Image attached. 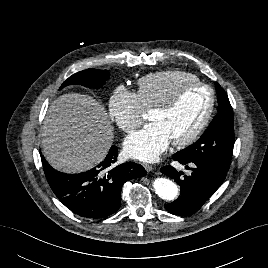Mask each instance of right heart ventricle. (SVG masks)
I'll use <instances>...</instances> for the list:
<instances>
[{"label":"right heart ventricle","mask_w":268,"mask_h":268,"mask_svg":"<svg viewBox=\"0 0 268 268\" xmlns=\"http://www.w3.org/2000/svg\"><path fill=\"white\" fill-rule=\"evenodd\" d=\"M198 80L197 76L183 70L157 71L137 81L138 94L143 106L152 109L164 103L182 84Z\"/></svg>","instance_id":"obj_1"}]
</instances>
